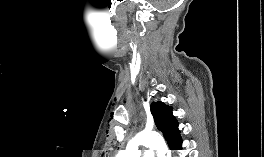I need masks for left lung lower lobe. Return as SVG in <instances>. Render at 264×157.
<instances>
[{
    "label": "left lung lower lobe",
    "instance_id": "left-lung-lower-lobe-1",
    "mask_svg": "<svg viewBox=\"0 0 264 157\" xmlns=\"http://www.w3.org/2000/svg\"><path fill=\"white\" fill-rule=\"evenodd\" d=\"M182 148V141L179 142L176 146L172 148V150H180Z\"/></svg>",
    "mask_w": 264,
    "mask_h": 157
}]
</instances>
